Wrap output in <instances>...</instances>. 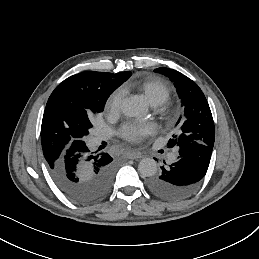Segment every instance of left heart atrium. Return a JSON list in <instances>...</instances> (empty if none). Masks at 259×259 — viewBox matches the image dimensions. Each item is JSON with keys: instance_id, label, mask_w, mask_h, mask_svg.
I'll use <instances>...</instances> for the list:
<instances>
[{"instance_id": "left-heart-atrium-1", "label": "left heart atrium", "mask_w": 259, "mask_h": 259, "mask_svg": "<svg viewBox=\"0 0 259 259\" xmlns=\"http://www.w3.org/2000/svg\"><path fill=\"white\" fill-rule=\"evenodd\" d=\"M155 132L156 126L150 122H129L119 130L120 136L131 143H140Z\"/></svg>"}]
</instances>
